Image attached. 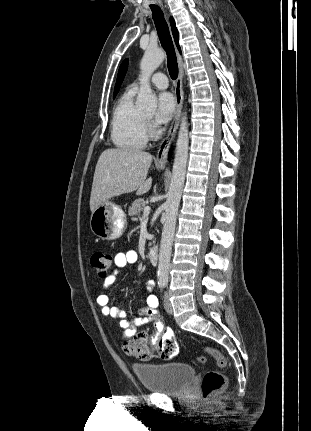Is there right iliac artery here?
Masks as SVG:
<instances>
[{"label":"right iliac artery","mask_w":311,"mask_h":431,"mask_svg":"<svg viewBox=\"0 0 311 431\" xmlns=\"http://www.w3.org/2000/svg\"><path fill=\"white\" fill-rule=\"evenodd\" d=\"M159 287H160V289H161V290H163V288H164V284H163V283H160V284H159Z\"/></svg>","instance_id":"right-iliac-artery-1"}]
</instances>
